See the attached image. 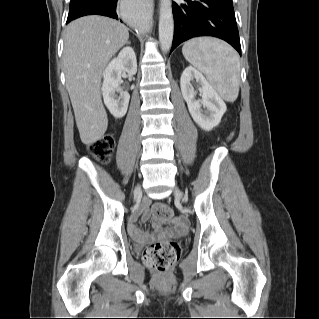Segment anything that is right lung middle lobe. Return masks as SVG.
Segmentation results:
<instances>
[{
	"label": "right lung middle lobe",
	"mask_w": 319,
	"mask_h": 319,
	"mask_svg": "<svg viewBox=\"0 0 319 319\" xmlns=\"http://www.w3.org/2000/svg\"><path fill=\"white\" fill-rule=\"evenodd\" d=\"M80 0H71L70 1V8H72L77 2H79Z\"/></svg>",
	"instance_id": "obj_1"
}]
</instances>
